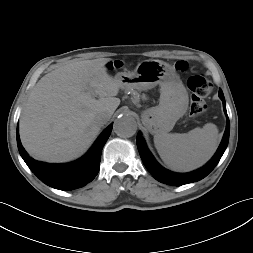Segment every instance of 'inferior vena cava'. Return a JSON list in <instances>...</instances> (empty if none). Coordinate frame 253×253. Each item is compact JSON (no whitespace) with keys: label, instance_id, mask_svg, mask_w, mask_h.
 Here are the masks:
<instances>
[{"label":"inferior vena cava","instance_id":"602c4592","mask_svg":"<svg viewBox=\"0 0 253 253\" xmlns=\"http://www.w3.org/2000/svg\"><path fill=\"white\" fill-rule=\"evenodd\" d=\"M108 120L109 115L107 113H100L95 117V122L100 126H103Z\"/></svg>","mask_w":253,"mask_h":253}]
</instances>
